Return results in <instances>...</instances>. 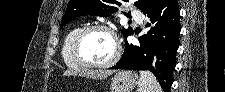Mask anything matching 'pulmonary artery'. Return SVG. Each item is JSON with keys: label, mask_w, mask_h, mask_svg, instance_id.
<instances>
[{"label": "pulmonary artery", "mask_w": 225, "mask_h": 92, "mask_svg": "<svg viewBox=\"0 0 225 92\" xmlns=\"http://www.w3.org/2000/svg\"><path fill=\"white\" fill-rule=\"evenodd\" d=\"M132 15L139 24L144 22V17L140 12H133Z\"/></svg>", "instance_id": "e3ab8cb5"}]
</instances>
